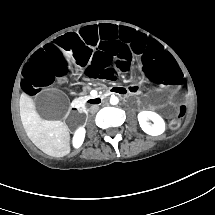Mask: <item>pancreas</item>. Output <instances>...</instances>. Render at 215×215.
<instances>
[{"instance_id": "cf45deb5", "label": "pancreas", "mask_w": 215, "mask_h": 215, "mask_svg": "<svg viewBox=\"0 0 215 215\" xmlns=\"http://www.w3.org/2000/svg\"><path fill=\"white\" fill-rule=\"evenodd\" d=\"M87 97L91 98V96H84V97H83V100H86Z\"/></svg>"}]
</instances>
